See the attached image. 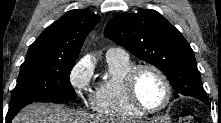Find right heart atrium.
Returning <instances> with one entry per match:
<instances>
[{"label": "right heart atrium", "mask_w": 221, "mask_h": 123, "mask_svg": "<svg viewBox=\"0 0 221 123\" xmlns=\"http://www.w3.org/2000/svg\"><path fill=\"white\" fill-rule=\"evenodd\" d=\"M92 72L86 62L78 61L70 71L69 82L75 92L84 97L86 90L91 82Z\"/></svg>", "instance_id": "1"}]
</instances>
